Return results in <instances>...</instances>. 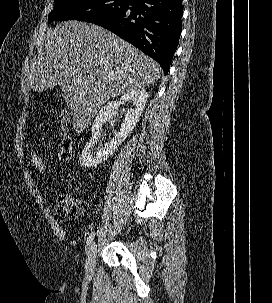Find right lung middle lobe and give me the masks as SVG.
<instances>
[{"mask_svg":"<svg viewBox=\"0 0 272 303\" xmlns=\"http://www.w3.org/2000/svg\"><path fill=\"white\" fill-rule=\"evenodd\" d=\"M132 0H56L48 22L79 20L94 22L127 10Z\"/></svg>","mask_w":272,"mask_h":303,"instance_id":"right-lung-middle-lobe-1","label":"right lung middle lobe"}]
</instances>
